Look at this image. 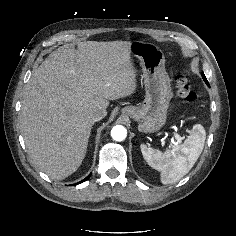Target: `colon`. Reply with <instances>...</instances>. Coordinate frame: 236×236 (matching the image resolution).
Here are the masks:
<instances>
[{"instance_id":"1","label":"colon","mask_w":236,"mask_h":236,"mask_svg":"<svg viewBox=\"0 0 236 236\" xmlns=\"http://www.w3.org/2000/svg\"><path fill=\"white\" fill-rule=\"evenodd\" d=\"M176 88L178 96L186 103L191 104L198 99V94L191 89L183 72H178L176 75Z\"/></svg>"}]
</instances>
